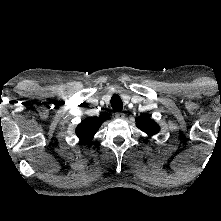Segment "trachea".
Listing matches in <instances>:
<instances>
[{"mask_svg": "<svg viewBox=\"0 0 221 221\" xmlns=\"http://www.w3.org/2000/svg\"><path fill=\"white\" fill-rule=\"evenodd\" d=\"M111 106L116 111H121L123 109V102L119 95L115 94L111 97Z\"/></svg>", "mask_w": 221, "mask_h": 221, "instance_id": "3493384b", "label": "trachea"}]
</instances>
